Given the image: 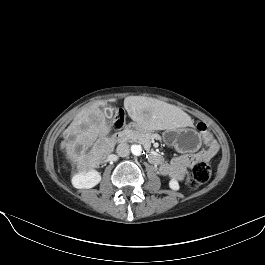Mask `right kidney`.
Returning <instances> with one entry per match:
<instances>
[{"label": "right kidney", "mask_w": 265, "mask_h": 265, "mask_svg": "<svg viewBox=\"0 0 265 265\" xmlns=\"http://www.w3.org/2000/svg\"><path fill=\"white\" fill-rule=\"evenodd\" d=\"M101 181V175L96 170L80 172L73 176L72 185L77 189H90Z\"/></svg>", "instance_id": "right-kidney-1"}]
</instances>
